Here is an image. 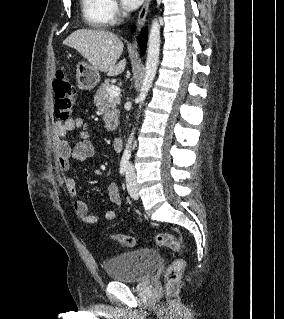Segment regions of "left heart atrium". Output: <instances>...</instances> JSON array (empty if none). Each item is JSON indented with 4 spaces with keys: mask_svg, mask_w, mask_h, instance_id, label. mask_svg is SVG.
Masks as SVG:
<instances>
[{
    "mask_svg": "<svg viewBox=\"0 0 284 319\" xmlns=\"http://www.w3.org/2000/svg\"><path fill=\"white\" fill-rule=\"evenodd\" d=\"M123 7L127 10L137 9L144 0H120Z\"/></svg>",
    "mask_w": 284,
    "mask_h": 319,
    "instance_id": "left-heart-atrium-1",
    "label": "left heart atrium"
}]
</instances>
